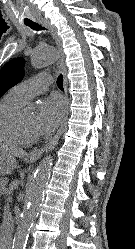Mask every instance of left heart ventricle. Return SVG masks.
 Listing matches in <instances>:
<instances>
[{"label": "left heart ventricle", "instance_id": "obj_1", "mask_svg": "<svg viewBox=\"0 0 135 249\" xmlns=\"http://www.w3.org/2000/svg\"><path fill=\"white\" fill-rule=\"evenodd\" d=\"M21 125L25 132L29 135H37L35 129V113L32 111L22 110L20 117Z\"/></svg>", "mask_w": 135, "mask_h": 249}]
</instances>
